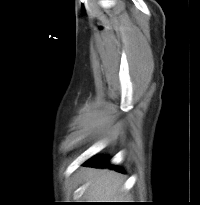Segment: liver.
Masks as SVG:
<instances>
[{
  "label": "liver",
  "instance_id": "6515ba94",
  "mask_svg": "<svg viewBox=\"0 0 200 205\" xmlns=\"http://www.w3.org/2000/svg\"><path fill=\"white\" fill-rule=\"evenodd\" d=\"M84 181L89 182L86 196L90 200H120L123 197V179L113 171L89 170Z\"/></svg>",
  "mask_w": 200,
  "mask_h": 205
}]
</instances>
